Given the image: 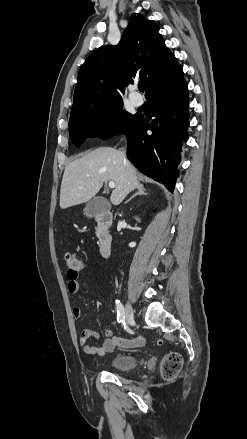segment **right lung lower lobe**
<instances>
[{
    "label": "right lung lower lobe",
    "mask_w": 247,
    "mask_h": 439,
    "mask_svg": "<svg viewBox=\"0 0 247 439\" xmlns=\"http://www.w3.org/2000/svg\"><path fill=\"white\" fill-rule=\"evenodd\" d=\"M188 85L184 81L173 89L157 93L148 99L154 120L138 114L135 122L124 132L128 139L127 156L143 174L163 183L173 191L178 176L182 141H187ZM152 131L147 133V131Z\"/></svg>",
    "instance_id": "obj_1"
}]
</instances>
